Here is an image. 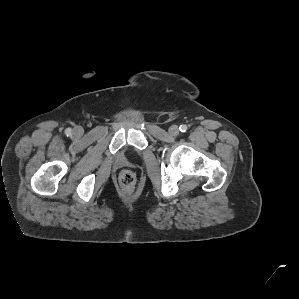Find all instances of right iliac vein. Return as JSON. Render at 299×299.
<instances>
[{
	"label": "right iliac vein",
	"instance_id": "1",
	"mask_svg": "<svg viewBox=\"0 0 299 299\" xmlns=\"http://www.w3.org/2000/svg\"><path fill=\"white\" fill-rule=\"evenodd\" d=\"M74 134H75L76 136H81V135L83 134V129H82L81 127H76V128L74 129Z\"/></svg>",
	"mask_w": 299,
	"mask_h": 299
}]
</instances>
